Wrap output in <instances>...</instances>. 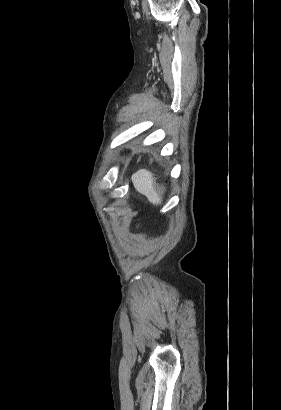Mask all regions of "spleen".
Wrapping results in <instances>:
<instances>
[{"instance_id":"spleen-1","label":"spleen","mask_w":281,"mask_h":410,"mask_svg":"<svg viewBox=\"0 0 281 410\" xmlns=\"http://www.w3.org/2000/svg\"><path fill=\"white\" fill-rule=\"evenodd\" d=\"M132 182L135 189L146 196L154 205L162 202L161 192L156 189V182L151 172L141 169L132 176Z\"/></svg>"}]
</instances>
